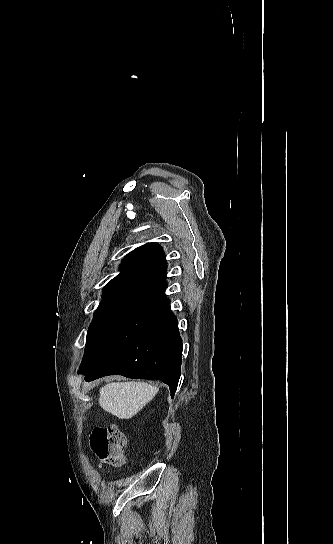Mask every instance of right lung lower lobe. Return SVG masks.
Segmentation results:
<instances>
[{
  "label": "right lung lower lobe",
  "instance_id": "obj_1",
  "mask_svg": "<svg viewBox=\"0 0 333 544\" xmlns=\"http://www.w3.org/2000/svg\"><path fill=\"white\" fill-rule=\"evenodd\" d=\"M182 339L178 321L168 307L145 331L103 361L80 368L86 380L108 375L160 380L173 397L181 375Z\"/></svg>",
  "mask_w": 333,
  "mask_h": 544
}]
</instances>
